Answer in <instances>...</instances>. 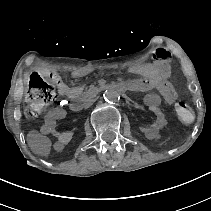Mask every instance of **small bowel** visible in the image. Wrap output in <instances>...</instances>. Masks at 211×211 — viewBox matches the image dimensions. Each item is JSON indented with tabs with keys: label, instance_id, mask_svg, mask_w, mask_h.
I'll return each mask as SVG.
<instances>
[{
	"label": "small bowel",
	"instance_id": "small-bowel-1",
	"mask_svg": "<svg viewBox=\"0 0 211 211\" xmlns=\"http://www.w3.org/2000/svg\"><path fill=\"white\" fill-rule=\"evenodd\" d=\"M146 76L136 79L138 83V91L156 90L157 93H149L145 96L144 102L149 107L154 116V121L149 125H143L141 131L149 139L159 137L160 131L165 127L167 121L165 115L160 108L161 101L172 104L176 100L177 94L174 87L160 74L155 73L152 69L145 71ZM52 83L55 84L60 95L67 98H75L80 88L67 85L56 73L46 75ZM41 131L46 134H51L56 137L55 146L62 148L68 143L70 136L67 132H62L57 128L56 114L50 113L47 115Z\"/></svg>",
	"mask_w": 211,
	"mask_h": 211
}]
</instances>
